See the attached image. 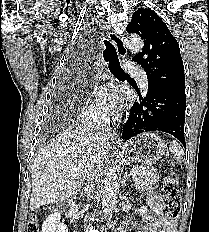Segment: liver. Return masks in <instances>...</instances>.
<instances>
[{"label":"liver","mask_w":209,"mask_h":232,"mask_svg":"<svg viewBox=\"0 0 209 232\" xmlns=\"http://www.w3.org/2000/svg\"><path fill=\"white\" fill-rule=\"evenodd\" d=\"M107 140L97 142L81 126H71L44 147L34 160L30 210L76 197L94 160L103 163Z\"/></svg>","instance_id":"1"}]
</instances>
